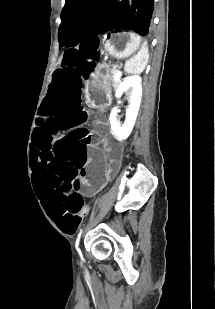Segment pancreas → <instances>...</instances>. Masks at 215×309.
Segmentation results:
<instances>
[{"mask_svg":"<svg viewBox=\"0 0 215 309\" xmlns=\"http://www.w3.org/2000/svg\"><path fill=\"white\" fill-rule=\"evenodd\" d=\"M111 74H112L111 80H112L113 86H117V84H120V80H115V78H114V76H116L114 70H111Z\"/></svg>","mask_w":215,"mask_h":309,"instance_id":"cf45deb5","label":"pancreas"}]
</instances>
